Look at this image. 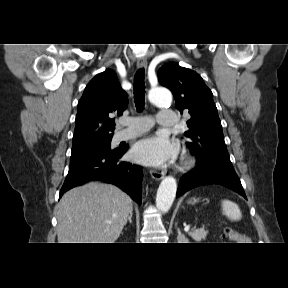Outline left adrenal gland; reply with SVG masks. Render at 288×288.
Instances as JSON below:
<instances>
[{
  "label": "left adrenal gland",
  "instance_id": "left-adrenal-gland-1",
  "mask_svg": "<svg viewBox=\"0 0 288 288\" xmlns=\"http://www.w3.org/2000/svg\"><path fill=\"white\" fill-rule=\"evenodd\" d=\"M178 236L177 240L178 243H189V240L181 233L180 229H177Z\"/></svg>",
  "mask_w": 288,
  "mask_h": 288
}]
</instances>
